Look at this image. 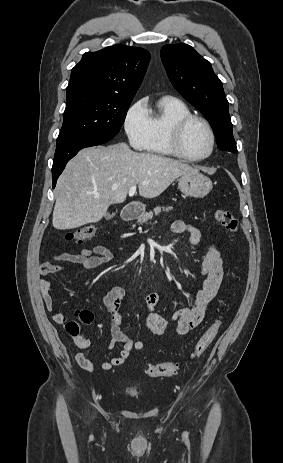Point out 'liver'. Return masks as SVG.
<instances>
[{
  "label": "liver",
  "mask_w": 283,
  "mask_h": 463,
  "mask_svg": "<svg viewBox=\"0 0 283 463\" xmlns=\"http://www.w3.org/2000/svg\"><path fill=\"white\" fill-rule=\"evenodd\" d=\"M196 171L168 157L134 152L125 143L82 149L57 181L53 226L68 230L98 222L111 204L126 200L132 186L151 199L178 177Z\"/></svg>",
  "instance_id": "1"
}]
</instances>
